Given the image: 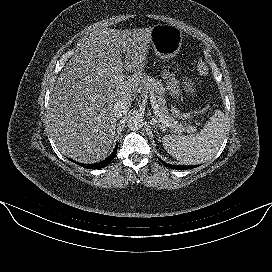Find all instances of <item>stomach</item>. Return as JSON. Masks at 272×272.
<instances>
[{
  "label": "stomach",
  "mask_w": 272,
  "mask_h": 272,
  "mask_svg": "<svg viewBox=\"0 0 272 272\" xmlns=\"http://www.w3.org/2000/svg\"><path fill=\"white\" fill-rule=\"evenodd\" d=\"M151 39L156 56L165 61L178 54L183 36L181 31L173 25L158 24L152 29Z\"/></svg>",
  "instance_id": "obj_1"
}]
</instances>
